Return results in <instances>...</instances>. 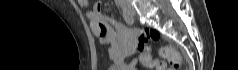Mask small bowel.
<instances>
[{
	"label": "small bowel",
	"instance_id": "1",
	"mask_svg": "<svg viewBox=\"0 0 238 70\" xmlns=\"http://www.w3.org/2000/svg\"><path fill=\"white\" fill-rule=\"evenodd\" d=\"M78 4L85 11L93 34L100 43L109 46L108 54L114 62V67L118 70H137L138 59L133 58L128 62L127 58L138 49L142 50L139 46V32L104 15L99 8H91L88 0H78ZM139 59L146 65L144 53L140 55Z\"/></svg>",
	"mask_w": 238,
	"mask_h": 70
}]
</instances>
